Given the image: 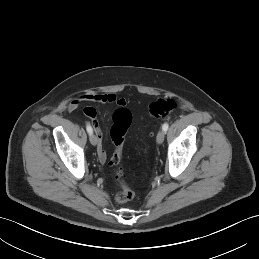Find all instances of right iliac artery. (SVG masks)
Wrapping results in <instances>:
<instances>
[{"instance_id": "right-iliac-artery-1", "label": "right iliac artery", "mask_w": 259, "mask_h": 259, "mask_svg": "<svg viewBox=\"0 0 259 259\" xmlns=\"http://www.w3.org/2000/svg\"><path fill=\"white\" fill-rule=\"evenodd\" d=\"M86 129H87V132H88L89 134H92L93 129H92V127H91L90 125H87V126H86Z\"/></svg>"}]
</instances>
